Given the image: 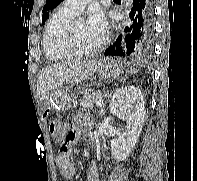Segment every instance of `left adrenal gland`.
<instances>
[{"label":"left adrenal gland","instance_id":"left-adrenal-gland-1","mask_svg":"<svg viewBox=\"0 0 197 181\" xmlns=\"http://www.w3.org/2000/svg\"><path fill=\"white\" fill-rule=\"evenodd\" d=\"M108 101V100H107ZM107 101L103 104V106H102V108H101V110H100V112H99V115L100 116H102L103 114H104V112H105V106H106V104H107Z\"/></svg>","mask_w":197,"mask_h":181}]
</instances>
